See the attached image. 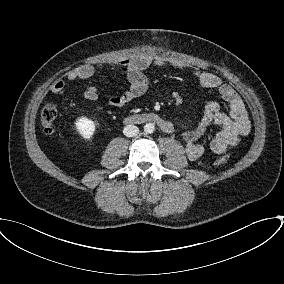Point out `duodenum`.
<instances>
[{
	"label": "duodenum",
	"instance_id": "410a0bca",
	"mask_svg": "<svg viewBox=\"0 0 284 284\" xmlns=\"http://www.w3.org/2000/svg\"><path fill=\"white\" fill-rule=\"evenodd\" d=\"M128 124L136 123H154L157 124L160 129L165 133H171L173 130V125L170 121L162 118L156 113H144L138 115H132L126 118Z\"/></svg>",
	"mask_w": 284,
	"mask_h": 284
}]
</instances>
